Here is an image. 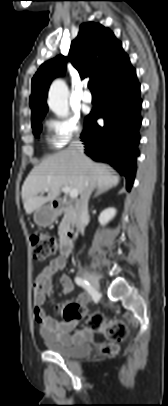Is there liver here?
Returning a JSON list of instances; mask_svg holds the SVG:
<instances>
[{
    "label": "liver",
    "mask_w": 168,
    "mask_h": 406,
    "mask_svg": "<svg viewBox=\"0 0 168 406\" xmlns=\"http://www.w3.org/2000/svg\"><path fill=\"white\" fill-rule=\"evenodd\" d=\"M88 175L93 177V187L99 190L112 188L119 183V176L110 166L95 163L85 155L79 158L69 148L47 157L31 170L22 186L26 213L31 214L45 203L57 199L64 186L74 188L82 195L87 188ZM46 188V197L38 195Z\"/></svg>",
    "instance_id": "1"
}]
</instances>
